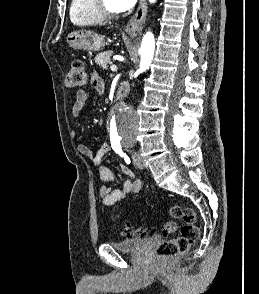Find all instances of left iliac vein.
<instances>
[{
    "label": "left iliac vein",
    "instance_id": "obj_1",
    "mask_svg": "<svg viewBox=\"0 0 259 294\" xmlns=\"http://www.w3.org/2000/svg\"><path fill=\"white\" fill-rule=\"evenodd\" d=\"M132 159H133L134 165L137 168H139V169H144L145 168L143 160L141 159L138 152H136V151L132 152Z\"/></svg>",
    "mask_w": 259,
    "mask_h": 294
}]
</instances>
